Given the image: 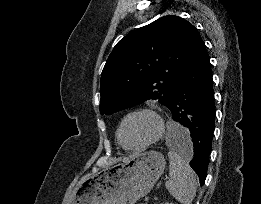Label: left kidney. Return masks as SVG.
Listing matches in <instances>:
<instances>
[{
    "label": "left kidney",
    "mask_w": 261,
    "mask_h": 204,
    "mask_svg": "<svg viewBox=\"0 0 261 204\" xmlns=\"http://www.w3.org/2000/svg\"><path fill=\"white\" fill-rule=\"evenodd\" d=\"M161 204H173V203H168V202H166V203H161Z\"/></svg>",
    "instance_id": "obj_1"
}]
</instances>
